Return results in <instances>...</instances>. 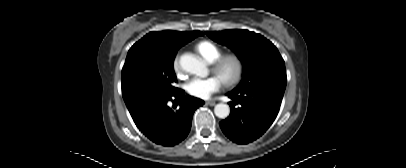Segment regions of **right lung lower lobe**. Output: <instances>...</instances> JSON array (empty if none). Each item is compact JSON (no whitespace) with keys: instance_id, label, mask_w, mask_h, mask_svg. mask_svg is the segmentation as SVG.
Instances as JSON below:
<instances>
[{"instance_id":"1","label":"right lung lower lobe","mask_w":406,"mask_h":168,"mask_svg":"<svg viewBox=\"0 0 406 168\" xmlns=\"http://www.w3.org/2000/svg\"><path fill=\"white\" fill-rule=\"evenodd\" d=\"M177 89L155 104L134 114L132 118L139 130L151 141L163 146H174L189 134L194 111L203 100L184 95ZM173 101V106L169 102Z\"/></svg>"}]
</instances>
